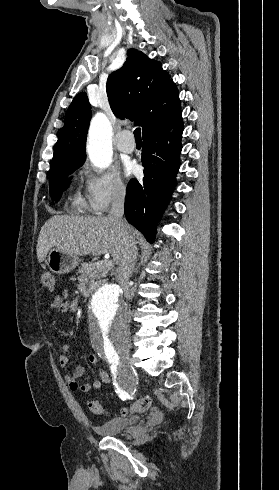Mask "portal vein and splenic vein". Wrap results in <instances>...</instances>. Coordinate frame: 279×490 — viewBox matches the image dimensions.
I'll return each instance as SVG.
<instances>
[{
  "mask_svg": "<svg viewBox=\"0 0 279 490\" xmlns=\"http://www.w3.org/2000/svg\"><path fill=\"white\" fill-rule=\"evenodd\" d=\"M108 258H110V256H107V254H106V256H105L106 262H107ZM100 264H105V262H100ZM107 266H112V262H107Z\"/></svg>",
  "mask_w": 279,
  "mask_h": 490,
  "instance_id": "portal-vein-and-splenic-vein-1",
  "label": "portal vein and splenic vein"
}]
</instances>
